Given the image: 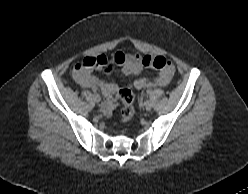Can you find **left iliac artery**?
<instances>
[{
    "label": "left iliac artery",
    "instance_id": "1",
    "mask_svg": "<svg viewBox=\"0 0 248 194\" xmlns=\"http://www.w3.org/2000/svg\"><path fill=\"white\" fill-rule=\"evenodd\" d=\"M147 93H148V94H150V93H151V91H150V90H148V91H147Z\"/></svg>",
    "mask_w": 248,
    "mask_h": 194
}]
</instances>
